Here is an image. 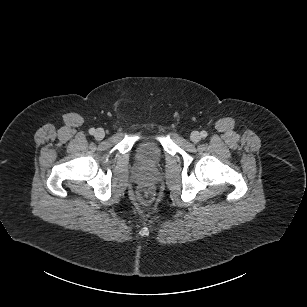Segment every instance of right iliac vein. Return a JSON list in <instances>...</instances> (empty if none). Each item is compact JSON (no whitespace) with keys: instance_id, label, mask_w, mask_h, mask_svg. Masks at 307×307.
Here are the masks:
<instances>
[{"instance_id":"obj_1","label":"right iliac vein","mask_w":307,"mask_h":307,"mask_svg":"<svg viewBox=\"0 0 307 307\" xmlns=\"http://www.w3.org/2000/svg\"><path fill=\"white\" fill-rule=\"evenodd\" d=\"M105 136V132L102 128H98L95 132V138L97 140H102Z\"/></svg>"}]
</instances>
